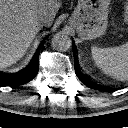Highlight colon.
<instances>
[{
  "instance_id": "5ec220e1",
  "label": "colon",
  "mask_w": 128,
  "mask_h": 128,
  "mask_svg": "<svg viewBox=\"0 0 128 128\" xmlns=\"http://www.w3.org/2000/svg\"><path fill=\"white\" fill-rule=\"evenodd\" d=\"M123 18L124 21L128 23V0L124 1Z\"/></svg>"
}]
</instances>
